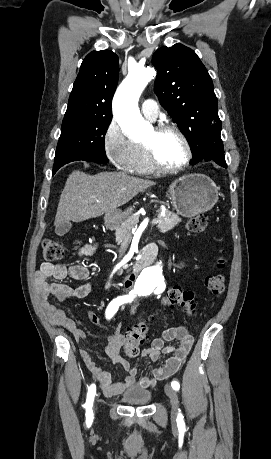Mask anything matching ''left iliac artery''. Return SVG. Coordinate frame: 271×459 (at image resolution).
<instances>
[{
  "label": "left iliac artery",
  "mask_w": 271,
  "mask_h": 459,
  "mask_svg": "<svg viewBox=\"0 0 271 459\" xmlns=\"http://www.w3.org/2000/svg\"><path fill=\"white\" fill-rule=\"evenodd\" d=\"M171 386H172V388H173L174 390H176V391H178L179 388H180V384H179V382H177V381H172V382H171ZM180 417H183V416H182V414L180 413V409H179L178 418H180Z\"/></svg>",
  "instance_id": "44dca946"
}]
</instances>
